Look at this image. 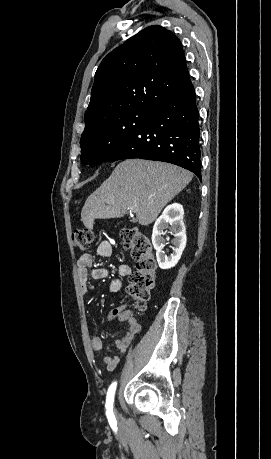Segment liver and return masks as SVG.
Returning <instances> with one entry per match:
<instances>
[{"instance_id": "obj_1", "label": "liver", "mask_w": 271, "mask_h": 459, "mask_svg": "<svg viewBox=\"0 0 271 459\" xmlns=\"http://www.w3.org/2000/svg\"><path fill=\"white\" fill-rule=\"evenodd\" d=\"M192 178L191 172L165 162L125 160L87 198L81 220L85 228L93 229L96 218H123L132 210L139 224L148 226Z\"/></svg>"}]
</instances>
